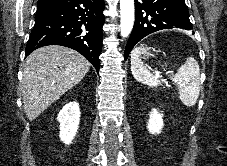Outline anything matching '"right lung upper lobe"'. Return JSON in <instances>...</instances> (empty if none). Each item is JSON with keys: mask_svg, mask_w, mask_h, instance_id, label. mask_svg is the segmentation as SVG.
Segmentation results:
<instances>
[{"mask_svg": "<svg viewBox=\"0 0 227 166\" xmlns=\"http://www.w3.org/2000/svg\"><path fill=\"white\" fill-rule=\"evenodd\" d=\"M57 0H38V5L37 7H41V6H44V5H47V4H50V3H53Z\"/></svg>", "mask_w": 227, "mask_h": 166, "instance_id": "obj_1", "label": "right lung upper lobe"}]
</instances>
